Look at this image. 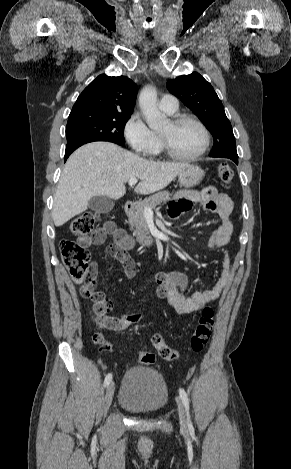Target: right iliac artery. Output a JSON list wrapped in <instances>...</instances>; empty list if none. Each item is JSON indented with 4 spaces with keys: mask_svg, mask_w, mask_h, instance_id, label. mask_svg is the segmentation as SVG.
<instances>
[{
    "mask_svg": "<svg viewBox=\"0 0 291 469\" xmlns=\"http://www.w3.org/2000/svg\"><path fill=\"white\" fill-rule=\"evenodd\" d=\"M111 380H112V374L109 373V374H107L106 377H105L104 386H105V387L108 386V385L110 384Z\"/></svg>",
    "mask_w": 291,
    "mask_h": 469,
    "instance_id": "1",
    "label": "right iliac artery"
}]
</instances>
